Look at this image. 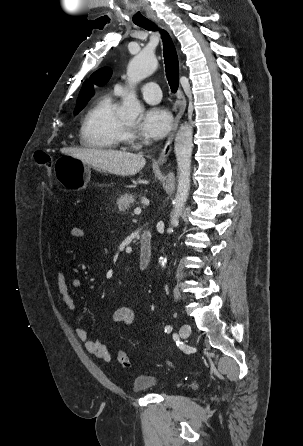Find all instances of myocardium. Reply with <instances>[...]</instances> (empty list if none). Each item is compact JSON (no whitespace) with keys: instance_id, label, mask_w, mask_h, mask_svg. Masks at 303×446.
<instances>
[{"instance_id":"1","label":"myocardium","mask_w":303,"mask_h":446,"mask_svg":"<svg viewBox=\"0 0 303 446\" xmlns=\"http://www.w3.org/2000/svg\"><path fill=\"white\" fill-rule=\"evenodd\" d=\"M122 124H123V128H124V131L126 132L127 130H129V126L128 125H126L125 123H123L122 122Z\"/></svg>"}]
</instances>
